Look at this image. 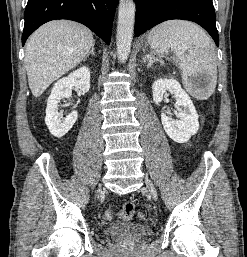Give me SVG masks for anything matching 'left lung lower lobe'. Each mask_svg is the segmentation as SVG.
I'll return each instance as SVG.
<instances>
[{"label": "left lung lower lobe", "mask_w": 247, "mask_h": 257, "mask_svg": "<svg viewBox=\"0 0 247 257\" xmlns=\"http://www.w3.org/2000/svg\"><path fill=\"white\" fill-rule=\"evenodd\" d=\"M135 36L171 19L193 21L202 26L219 46L212 0H135Z\"/></svg>", "instance_id": "obj_1"}]
</instances>
